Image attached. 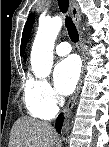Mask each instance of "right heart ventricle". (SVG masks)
Returning <instances> with one entry per match:
<instances>
[{
  "mask_svg": "<svg viewBox=\"0 0 109 147\" xmlns=\"http://www.w3.org/2000/svg\"><path fill=\"white\" fill-rule=\"evenodd\" d=\"M31 83H29L27 85L26 88V98H25V106L26 109L28 111V113L34 117V118H38V119H47L50 116H55V113H51L48 112L46 110H44L43 108H41L39 105H37L36 103H34L33 101H31L27 96V90L29 88Z\"/></svg>",
  "mask_w": 109,
  "mask_h": 147,
  "instance_id": "e07e8e85",
  "label": "right heart ventricle"
}]
</instances>
